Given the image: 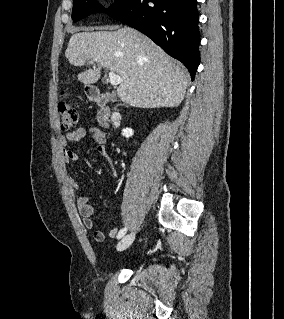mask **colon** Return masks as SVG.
<instances>
[{
	"label": "colon",
	"mask_w": 284,
	"mask_h": 319,
	"mask_svg": "<svg viewBox=\"0 0 284 319\" xmlns=\"http://www.w3.org/2000/svg\"><path fill=\"white\" fill-rule=\"evenodd\" d=\"M58 113L62 130H69L78 121V106L76 103L63 100L58 104Z\"/></svg>",
	"instance_id": "colon-1"
}]
</instances>
